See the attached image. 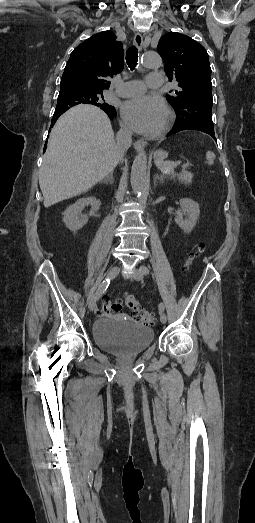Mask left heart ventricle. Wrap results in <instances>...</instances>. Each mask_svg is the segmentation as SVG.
<instances>
[{
	"instance_id": "1",
	"label": "left heart ventricle",
	"mask_w": 255,
	"mask_h": 523,
	"mask_svg": "<svg viewBox=\"0 0 255 523\" xmlns=\"http://www.w3.org/2000/svg\"><path fill=\"white\" fill-rule=\"evenodd\" d=\"M167 112L165 113L164 117H163V120H162V124H161V130L164 128L166 122H167Z\"/></svg>"
}]
</instances>
